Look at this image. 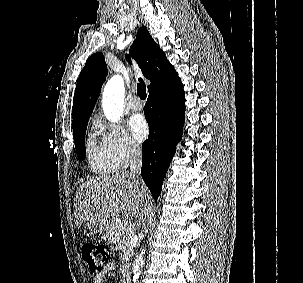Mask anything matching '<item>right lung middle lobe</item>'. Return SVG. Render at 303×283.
Listing matches in <instances>:
<instances>
[{"label":"right lung middle lobe","instance_id":"right-lung-middle-lobe-1","mask_svg":"<svg viewBox=\"0 0 303 283\" xmlns=\"http://www.w3.org/2000/svg\"><path fill=\"white\" fill-rule=\"evenodd\" d=\"M87 124H88V121H85L73 128V136L75 138L76 153H77V157L80 161L84 160L86 157L85 134H86Z\"/></svg>","mask_w":303,"mask_h":283}]
</instances>
